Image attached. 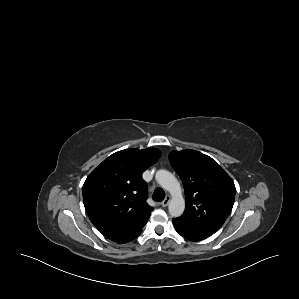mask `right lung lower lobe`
<instances>
[{
	"label": "right lung lower lobe",
	"instance_id": "right-lung-lower-lobe-1",
	"mask_svg": "<svg viewBox=\"0 0 299 299\" xmlns=\"http://www.w3.org/2000/svg\"><path fill=\"white\" fill-rule=\"evenodd\" d=\"M142 231H139L135 234L129 235V236H124V237H119L116 239H112V241L116 242V243H127L130 242L132 240H134L136 237H138L140 235Z\"/></svg>",
	"mask_w": 299,
	"mask_h": 299
}]
</instances>
